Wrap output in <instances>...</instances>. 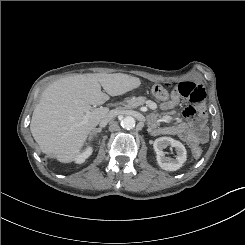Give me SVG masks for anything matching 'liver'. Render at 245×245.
Returning <instances> with one entry per match:
<instances>
[{"instance_id": "6515ba94", "label": "liver", "mask_w": 245, "mask_h": 245, "mask_svg": "<svg viewBox=\"0 0 245 245\" xmlns=\"http://www.w3.org/2000/svg\"><path fill=\"white\" fill-rule=\"evenodd\" d=\"M140 85L138 77L123 73L77 74L59 79L44 90L33 111L32 136L42 152L64 163L74 161L88 135L109 112L108 108L94 109L91 105H102L109 95H123Z\"/></svg>"}]
</instances>
